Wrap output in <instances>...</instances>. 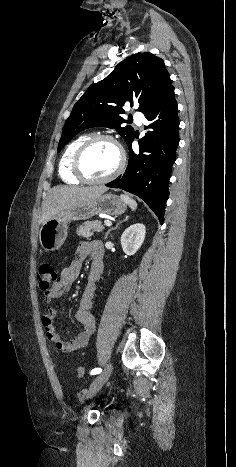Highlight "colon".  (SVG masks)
<instances>
[{
	"label": "colon",
	"instance_id": "5ec220e1",
	"mask_svg": "<svg viewBox=\"0 0 236 467\" xmlns=\"http://www.w3.org/2000/svg\"><path fill=\"white\" fill-rule=\"evenodd\" d=\"M39 277H40V288L44 292H49L54 288L57 283V271L56 268L49 263L43 264L39 268ZM84 368H77L78 377L82 378L84 376Z\"/></svg>",
	"mask_w": 236,
	"mask_h": 467
}]
</instances>
